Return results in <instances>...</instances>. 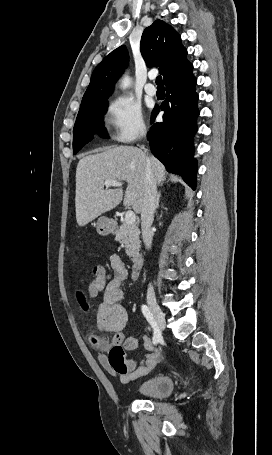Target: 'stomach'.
I'll use <instances>...</instances> for the list:
<instances>
[{"label":"stomach","mask_w":272,"mask_h":455,"mask_svg":"<svg viewBox=\"0 0 272 455\" xmlns=\"http://www.w3.org/2000/svg\"><path fill=\"white\" fill-rule=\"evenodd\" d=\"M114 230V222L107 217H100L97 221V232L102 236L110 234Z\"/></svg>","instance_id":"stomach-1"}]
</instances>
